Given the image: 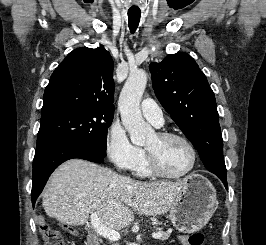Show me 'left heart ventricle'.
Wrapping results in <instances>:
<instances>
[{
    "label": "left heart ventricle",
    "mask_w": 266,
    "mask_h": 245,
    "mask_svg": "<svg viewBox=\"0 0 266 245\" xmlns=\"http://www.w3.org/2000/svg\"><path fill=\"white\" fill-rule=\"evenodd\" d=\"M145 149L157 167L168 175H181L190 166L191 152L179 139H163L155 134L146 142Z\"/></svg>",
    "instance_id": "b2bd125f"
}]
</instances>
